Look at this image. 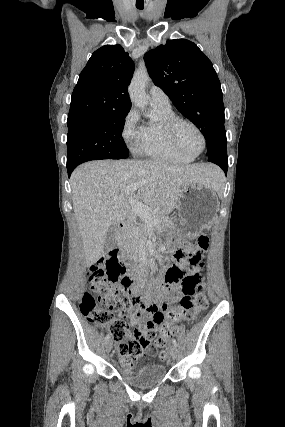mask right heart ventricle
<instances>
[{
	"label": "right heart ventricle",
	"instance_id": "e07e8e85",
	"mask_svg": "<svg viewBox=\"0 0 285 427\" xmlns=\"http://www.w3.org/2000/svg\"><path fill=\"white\" fill-rule=\"evenodd\" d=\"M152 106L158 114V119L148 121L142 126V136L137 152L161 162L179 164L191 162L193 158L178 152L164 132L163 121L175 117L171 106L155 104H152Z\"/></svg>",
	"mask_w": 285,
	"mask_h": 427
}]
</instances>
